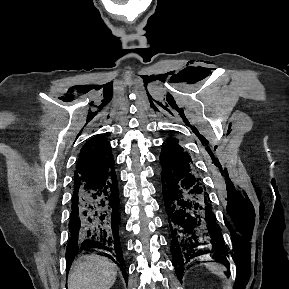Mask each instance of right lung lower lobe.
Instances as JSON below:
<instances>
[{"instance_id":"1","label":"right lung lower lobe","mask_w":289,"mask_h":289,"mask_svg":"<svg viewBox=\"0 0 289 289\" xmlns=\"http://www.w3.org/2000/svg\"><path fill=\"white\" fill-rule=\"evenodd\" d=\"M69 231L70 239L66 252L68 270L80 251L98 249L104 251L105 255L120 267L127 282L121 247L119 195L114 170L74 187Z\"/></svg>"}]
</instances>
